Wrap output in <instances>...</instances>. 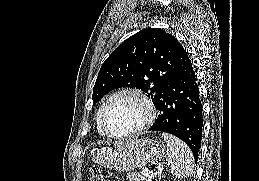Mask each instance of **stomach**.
I'll return each mask as SVG.
<instances>
[{
  "instance_id": "obj_1",
  "label": "stomach",
  "mask_w": 259,
  "mask_h": 181,
  "mask_svg": "<svg viewBox=\"0 0 259 181\" xmlns=\"http://www.w3.org/2000/svg\"><path fill=\"white\" fill-rule=\"evenodd\" d=\"M165 148L157 140L136 139L105 147L93 158L107 168L130 172L147 165L158 164L165 156Z\"/></svg>"
}]
</instances>
